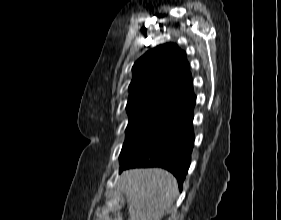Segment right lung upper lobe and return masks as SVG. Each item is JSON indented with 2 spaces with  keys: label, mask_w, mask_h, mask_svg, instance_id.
<instances>
[{
  "label": "right lung upper lobe",
  "mask_w": 281,
  "mask_h": 220,
  "mask_svg": "<svg viewBox=\"0 0 281 220\" xmlns=\"http://www.w3.org/2000/svg\"><path fill=\"white\" fill-rule=\"evenodd\" d=\"M132 71L126 106L129 118L171 119L196 100L186 54L176 44L151 49Z\"/></svg>",
  "instance_id": "obj_1"
}]
</instances>
